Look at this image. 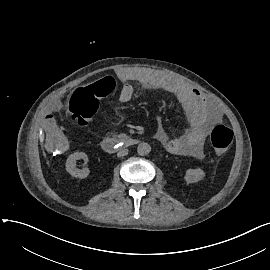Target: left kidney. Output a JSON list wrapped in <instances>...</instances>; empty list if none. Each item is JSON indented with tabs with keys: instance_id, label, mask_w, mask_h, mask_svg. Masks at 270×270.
<instances>
[{
	"instance_id": "1",
	"label": "left kidney",
	"mask_w": 270,
	"mask_h": 270,
	"mask_svg": "<svg viewBox=\"0 0 270 270\" xmlns=\"http://www.w3.org/2000/svg\"><path fill=\"white\" fill-rule=\"evenodd\" d=\"M206 177V172L201 167L189 168L186 170L183 180L187 184L202 181Z\"/></svg>"
}]
</instances>
